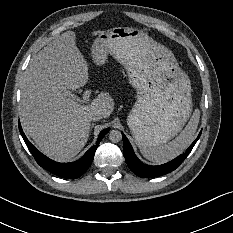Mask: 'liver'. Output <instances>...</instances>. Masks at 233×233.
<instances>
[{
    "label": "liver",
    "mask_w": 233,
    "mask_h": 233,
    "mask_svg": "<svg viewBox=\"0 0 233 233\" xmlns=\"http://www.w3.org/2000/svg\"><path fill=\"white\" fill-rule=\"evenodd\" d=\"M87 68L74 33L66 31L33 56L24 73L20 122L38 150L50 159L75 157L89 138V114L99 110L106 118L113 111L114 103L106 93H100L87 106L65 95L87 83Z\"/></svg>",
    "instance_id": "obj_1"
}]
</instances>
